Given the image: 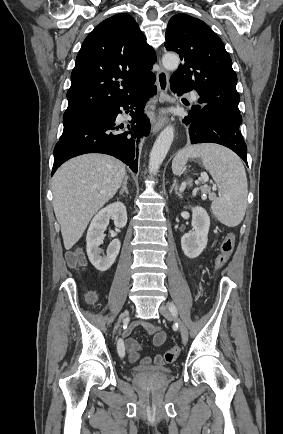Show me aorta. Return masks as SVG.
<instances>
[{
	"label": "aorta",
	"instance_id": "aorta-1",
	"mask_svg": "<svg viewBox=\"0 0 283 434\" xmlns=\"http://www.w3.org/2000/svg\"><path fill=\"white\" fill-rule=\"evenodd\" d=\"M162 63L165 69L169 71H175L179 66L180 59L177 54L167 53L164 55L162 59ZM173 139H174L173 126L165 127L157 137L153 145V148L151 150L150 159H149L148 169L151 175H155L158 172L163 160L166 157L167 152L170 149Z\"/></svg>",
	"mask_w": 283,
	"mask_h": 434
}]
</instances>
